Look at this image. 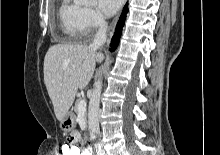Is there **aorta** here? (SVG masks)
Here are the masks:
<instances>
[{
  "label": "aorta",
  "instance_id": "1",
  "mask_svg": "<svg viewBox=\"0 0 220 155\" xmlns=\"http://www.w3.org/2000/svg\"><path fill=\"white\" fill-rule=\"evenodd\" d=\"M83 4L91 5L96 2V0H80ZM102 91V79L99 78L94 83V89L89 102L88 109V128L91 134L99 133V107H100V97Z\"/></svg>",
  "mask_w": 220,
  "mask_h": 155
}]
</instances>
